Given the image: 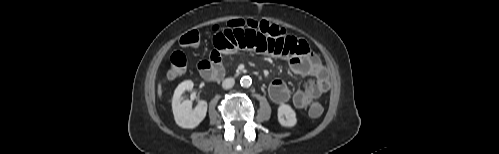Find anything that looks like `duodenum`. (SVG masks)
Instances as JSON below:
<instances>
[{"instance_id": "duodenum-1", "label": "duodenum", "mask_w": 499, "mask_h": 154, "mask_svg": "<svg viewBox=\"0 0 499 154\" xmlns=\"http://www.w3.org/2000/svg\"><path fill=\"white\" fill-rule=\"evenodd\" d=\"M216 78H219V76L215 75Z\"/></svg>"}]
</instances>
